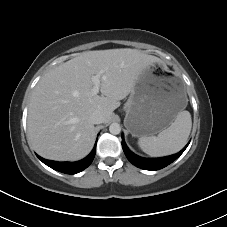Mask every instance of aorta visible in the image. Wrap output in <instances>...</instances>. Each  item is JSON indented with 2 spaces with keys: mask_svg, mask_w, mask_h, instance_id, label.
I'll return each mask as SVG.
<instances>
[{
  "mask_svg": "<svg viewBox=\"0 0 227 227\" xmlns=\"http://www.w3.org/2000/svg\"><path fill=\"white\" fill-rule=\"evenodd\" d=\"M109 131L111 134L113 135H117L121 132V127H120V124L118 123H112L110 126H109Z\"/></svg>",
  "mask_w": 227,
  "mask_h": 227,
  "instance_id": "aorta-1",
  "label": "aorta"
}]
</instances>
